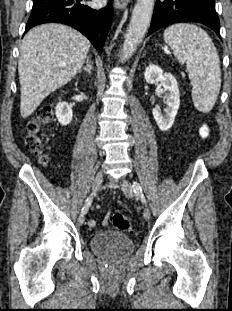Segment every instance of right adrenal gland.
<instances>
[{"label":"right adrenal gland","instance_id":"obj_1","mask_svg":"<svg viewBox=\"0 0 232 311\" xmlns=\"http://www.w3.org/2000/svg\"><path fill=\"white\" fill-rule=\"evenodd\" d=\"M92 69H93V63H92L90 57H87V58H86V66L83 67V68L79 71V73H81L82 71H86L89 75H91Z\"/></svg>","mask_w":232,"mask_h":311}]
</instances>
